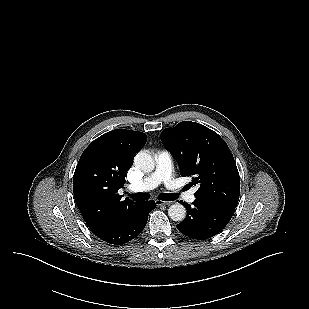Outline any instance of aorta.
I'll return each mask as SVG.
<instances>
[{"instance_id": "762f6f07", "label": "aorta", "mask_w": 309, "mask_h": 309, "mask_svg": "<svg viewBox=\"0 0 309 309\" xmlns=\"http://www.w3.org/2000/svg\"><path fill=\"white\" fill-rule=\"evenodd\" d=\"M135 166L144 173H150L155 168L153 157L147 152L140 151L134 157ZM168 215L173 221H183L186 217V209L180 203L171 205L168 209Z\"/></svg>"}]
</instances>
